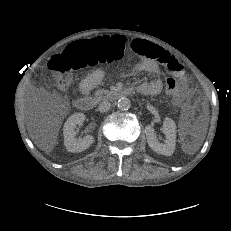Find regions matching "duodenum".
Wrapping results in <instances>:
<instances>
[{
    "label": "duodenum",
    "instance_id": "duodenum-1",
    "mask_svg": "<svg viewBox=\"0 0 231 231\" xmlns=\"http://www.w3.org/2000/svg\"><path fill=\"white\" fill-rule=\"evenodd\" d=\"M133 92V88L127 87L122 90L114 91L105 95L109 100H118L122 97L129 96ZM97 100L94 97L83 96L76 100V106L82 111H90L94 108Z\"/></svg>",
    "mask_w": 231,
    "mask_h": 231
}]
</instances>
